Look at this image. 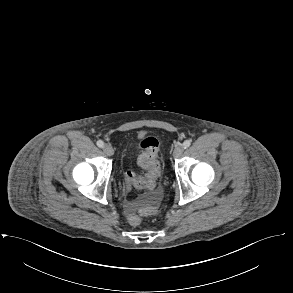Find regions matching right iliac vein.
Here are the masks:
<instances>
[{
    "instance_id": "63e3f726",
    "label": "right iliac vein",
    "mask_w": 293,
    "mask_h": 293,
    "mask_svg": "<svg viewBox=\"0 0 293 293\" xmlns=\"http://www.w3.org/2000/svg\"><path fill=\"white\" fill-rule=\"evenodd\" d=\"M103 152L107 156H112L114 154V150H113V148H112L111 145H105V146H103Z\"/></svg>"
}]
</instances>
